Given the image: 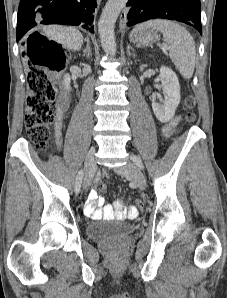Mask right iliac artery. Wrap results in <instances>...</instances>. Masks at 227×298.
<instances>
[{
    "mask_svg": "<svg viewBox=\"0 0 227 298\" xmlns=\"http://www.w3.org/2000/svg\"><path fill=\"white\" fill-rule=\"evenodd\" d=\"M83 176H84V171L80 170L76 176V181H75V193L76 194H78V192L80 191Z\"/></svg>",
    "mask_w": 227,
    "mask_h": 298,
    "instance_id": "obj_1",
    "label": "right iliac artery"
}]
</instances>
